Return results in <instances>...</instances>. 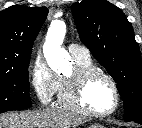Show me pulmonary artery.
Returning <instances> with one entry per match:
<instances>
[{"label":"pulmonary artery","instance_id":"pulmonary-artery-1","mask_svg":"<svg viewBox=\"0 0 142 128\" xmlns=\"http://www.w3.org/2000/svg\"><path fill=\"white\" fill-rule=\"evenodd\" d=\"M68 51L74 59H90V51L84 46L72 43L68 45Z\"/></svg>","mask_w":142,"mask_h":128}]
</instances>
